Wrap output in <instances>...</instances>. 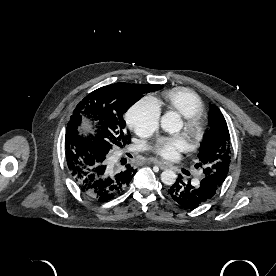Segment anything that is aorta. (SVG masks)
Here are the masks:
<instances>
[{"label":"aorta","instance_id":"aorta-1","mask_svg":"<svg viewBox=\"0 0 276 276\" xmlns=\"http://www.w3.org/2000/svg\"><path fill=\"white\" fill-rule=\"evenodd\" d=\"M161 128L170 134L179 132L183 127V122L176 112L168 111L161 117ZM177 175L174 171L166 169L161 173V181L165 185H173Z\"/></svg>","mask_w":276,"mask_h":276}]
</instances>
